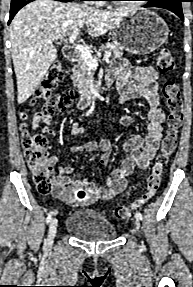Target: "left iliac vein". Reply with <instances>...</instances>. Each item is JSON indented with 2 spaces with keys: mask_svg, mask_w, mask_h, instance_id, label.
Returning a JSON list of instances; mask_svg holds the SVG:
<instances>
[{
  "mask_svg": "<svg viewBox=\"0 0 193 287\" xmlns=\"http://www.w3.org/2000/svg\"><path fill=\"white\" fill-rule=\"evenodd\" d=\"M135 228L137 231L140 230V222H139V219L136 218V221H135Z\"/></svg>",
  "mask_w": 193,
  "mask_h": 287,
  "instance_id": "1",
  "label": "left iliac vein"
}]
</instances>
